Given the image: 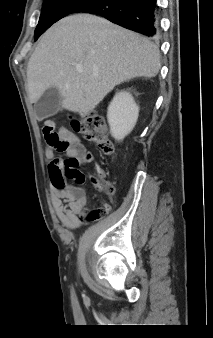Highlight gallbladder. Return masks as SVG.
<instances>
[{"label": "gallbladder", "instance_id": "bac80fb5", "mask_svg": "<svg viewBox=\"0 0 213 338\" xmlns=\"http://www.w3.org/2000/svg\"><path fill=\"white\" fill-rule=\"evenodd\" d=\"M62 97L56 87L47 89L40 99L34 104V111L39 120L52 116L58 112Z\"/></svg>", "mask_w": 213, "mask_h": 338}]
</instances>
